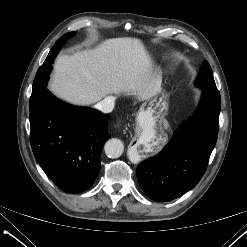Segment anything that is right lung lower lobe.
I'll return each instance as SVG.
<instances>
[{
    "mask_svg": "<svg viewBox=\"0 0 247 247\" xmlns=\"http://www.w3.org/2000/svg\"><path fill=\"white\" fill-rule=\"evenodd\" d=\"M108 119L97 110L66 104L48 90L30 109L34 156L61 190L80 193L93 185L109 138Z\"/></svg>",
    "mask_w": 247,
    "mask_h": 247,
    "instance_id": "right-lung-lower-lobe-1",
    "label": "right lung lower lobe"
}]
</instances>
